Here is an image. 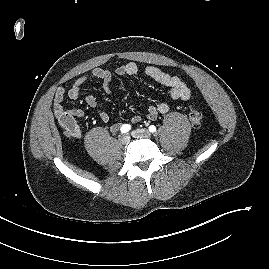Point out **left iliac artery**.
<instances>
[{
    "label": "left iliac artery",
    "instance_id": "1",
    "mask_svg": "<svg viewBox=\"0 0 269 269\" xmlns=\"http://www.w3.org/2000/svg\"><path fill=\"white\" fill-rule=\"evenodd\" d=\"M149 131L152 132V133H154L156 131V127L154 125H151L149 127Z\"/></svg>",
    "mask_w": 269,
    "mask_h": 269
}]
</instances>
